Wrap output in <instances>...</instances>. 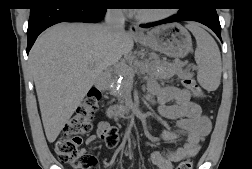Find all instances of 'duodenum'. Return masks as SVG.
I'll use <instances>...</instances> for the list:
<instances>
[{
    "mask_svg": "<svg viewBox=\"0 0 252 169\" xmlns=\"http://www.w3.org/2000/svg\"><path fill=\"white\" fill-rule=\"evenodd\" d=\"M131 107H125V106H113L109 111V116L113 117L115 115H123L127 112H129Z\"/></svg>",
    "mask_w": 252,
    "mask_h": 169,
    "instance_id": "obj_1",
    "label": "duodenum"
}]
</instances>
